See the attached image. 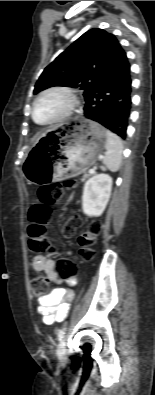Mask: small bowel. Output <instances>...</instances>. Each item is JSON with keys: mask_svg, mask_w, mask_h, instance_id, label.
Returning <instances> with one entry per match:
<instances>
[{"mask_svg": "<svg viewBox=\"0 0 155 395\" xmlns=\"http://www.w3.org/2000/svg\"><path fill=\"white\" fill-rule=\"evenodd\" d=\"M32 267L36 272H43L47 278L56 283L61 284L60 276L57 273L56 261L44 254L36 255L32 260ZM70 285L75 283V278L71 277L68 281ZM74 297L71 288L56 287L48 294H44L38 298L37 312L42 316L45 324L50 325L56 321L63 320L70 307V302Z\"/></svg>", "mask_w": 155, "mask_h": 395, "instance_id": "1", "label": "small bowel"}]
</instances>
